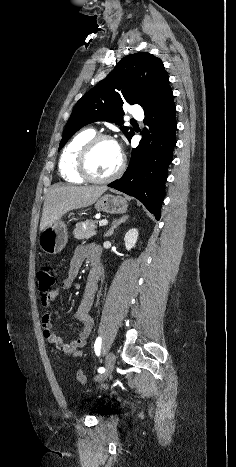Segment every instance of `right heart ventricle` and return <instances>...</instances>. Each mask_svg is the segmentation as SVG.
Masks as SVG:
<instances>
[{"instance_id":"obj_1","label":"right heart ventricle","mask_w":236,"mask_h":467,"mask_svg":"<svg viewBox=\"0 0 236 467\" xmlns=\"http://www.w3.org/2000/svg\"><path fill=\"white\" fill-rule=\"evenodd\" d=\"M95 135L93 129H86L76 134L64 148L59 159V172L68 183L85 181L77 171V156L81 147Z\"/></svg>"}]
</instances>
